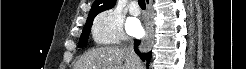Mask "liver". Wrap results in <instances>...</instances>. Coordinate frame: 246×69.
<instances>
[{
    "label": "liver",
    "instance_id": "6515ba94",
    "mask_svg": "<svg viewBox=\"0 0 246 69\" xmlns=\"http://www.w3.org/2000/svg\"><path fill=\"white\" fill-rule=\"evenodd\" d=\"M124 62V64H123ZM76 69H143L139 60L138 66L129 59L126 49L119 46H106L92 49L85 53L75 65Z\"/></svg>",
    "mask_w": 246,
    "mask_h": 69
}]
</instances>
